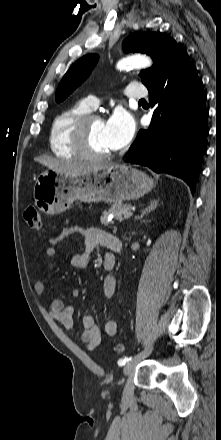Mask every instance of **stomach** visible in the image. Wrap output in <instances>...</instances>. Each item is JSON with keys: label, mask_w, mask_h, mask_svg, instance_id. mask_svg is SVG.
Masks as SVG:
<instances>
[{"label": "stomach", "mask_w": 221, "mask_h": 440, "mask_svg": "<svg viewBox=\"0 0 221 440\" xmlns=\"http://www.w3.org/2000/svg\"><path fill=\"white\" fill-rule=\"evenodd\" d=\"M154 181L146 173L128 165L110 164L81 175L42 172L34 185L36 206L45 214L64 212L76 200L82 202H122L136 200L151 191Z\"/></svg>", "instance_id": "stomach-1"}]
</instances>
